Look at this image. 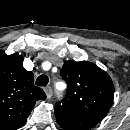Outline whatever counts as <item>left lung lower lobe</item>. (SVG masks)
<instances>
[{"mask_svg":"<svg viewBox=\"0 0 130 130\" xmlns=\"http://www.w3.org/2000/svg\"><path fill=\"white\" fill-rule=\"evenodd\" d=\"M55 116L57 123L64 130H88L99 121L86 115L73 112L62 106H55Z\"/></svg>","mask_w":130,"mask_h":130,"instance_id":"0a47b994","label":"left lung lower lobe"}]
</instances>
